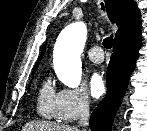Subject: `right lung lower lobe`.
Segmentation results:
<instances>
[{
    "mask_svg": "<svg viewBox=\"0 0 147 131\" xmlns=\"http://www.w3.org/2000/svg\"><path fill=\"white\" fill-rule=\"evenodd\" d=\"M140 47V30L126 38L114 41V53L110 58L106 75L107 94L91 114L89 124L92 131H111L115 113L135 68Z\"/></svg>",
    "mask_w": 147,
    "mask_h": 131,
    "instance_id": "right-lung-lower-lobe-1",
    "label": "right lung lower lobe"
}]
</instances>
